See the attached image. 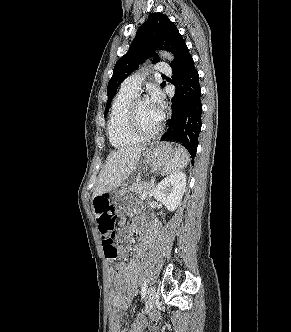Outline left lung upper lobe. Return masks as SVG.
I'll return each instance as SVG.
<instances>
[{"mask_svg": "<svg viewBox=\"0 0 291 332\" xmlns=\"http://www.w3.org/2000/svg\"><path fill=\"white\" fill-rule=\"evenodd\" d=\"M185 47L183 37L166 15L159 12L150 14L147 21L139 27L128 52L117 61L114 67L113 76L107 87L108 101L105 115L121 82L136 70L143 60L155 56L153 63L159 62L155 49H166L174 54L175 60L170 64L172 67L179 60ZM164 85L165 82L160 86L164 87Z\"/></svg>", "mask_w": 291, "mask_h": 332, "instance_id": "left-lung-upper-lobe-1", "label": "left lung upper lobe"}]
</instances>
